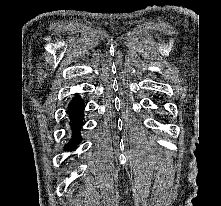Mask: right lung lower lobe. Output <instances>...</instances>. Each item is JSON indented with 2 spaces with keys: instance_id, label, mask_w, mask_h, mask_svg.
Returning a JSON list of instances; mask_svg holds the SVG:
<instances>
[{
  "instance_id": "obj_1",
  "label": "right lung lower lobe",
  "mask_w": 221,
  "mask_h": 206,
  "mask_svg": "<svg viewBox=\"0 0 221 206\" xmlns=\"http://www.w3.org/2000/svg\"><path fill=\"white\" fill-rule=\"evenodd\" d=\"M85 104L80 97H75L68 105L69 118L71 120L70 126L73 131L72 138L68 144L65 145V150L71 151L76 148V145L81 141L80 129L83 122V111Z\"/></svg>"
}]
</instances>
